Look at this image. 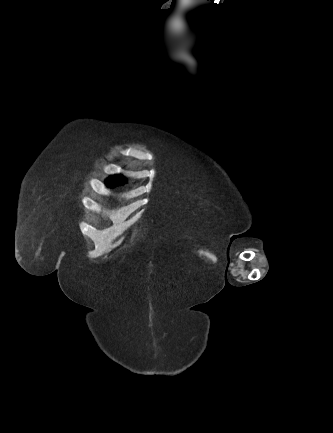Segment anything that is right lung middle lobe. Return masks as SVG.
<instances>
[{"instance_id": "obj_1", "label": "right lung middle lobe", "mask_w": 333, "mask_h": 433, "mask_svg": "<svg viewBox=\"0 0 333 433\" xmlns=\"http://www.w3.org/2000/svg\"><path fill=\"white\" fill-rule=\"evenodd\" d=\"M126 183V179L121 175L111 176L106 180V185L109 187H115Z\"/></svg>"}]
</instances>
